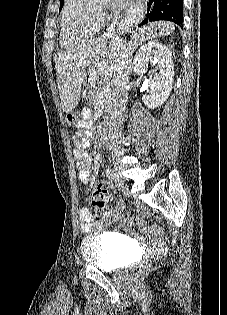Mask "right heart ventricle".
Instances as JSON below:
<instances>
[{"label": "right heart ventricle", "instance_id": "obj_1", "mask_svg": "<svg viewBox=\"0 0 227 315\" xmlns=\"http://www.w3.org/2000/svg\"><path fill=\"white\" fill-rule=\"evenodd\" d=\"M102 23L83 0H65L60 13V43L72 47L94 37Z\"/></svg>", "mask_w": 227, "mask_h": 315}]
</instances>
